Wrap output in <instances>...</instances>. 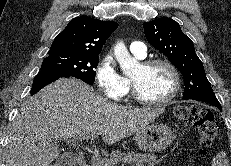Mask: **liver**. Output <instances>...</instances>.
<instances>
[{
	"instance_id": "liver-1",
	"label": "liver",
	"mask_w": 231,
	"mask_h": 166,
	"mask_svg": "<svg viewBox=\"0 0 231 166\" xmlns=\"http://www.w3.org/2000/svg\"><path fill=\"white\" fill-rule=\"evenodd\" d=\"M164 107L134 108L110 102L84 82L61 78L30 97L9 133L6 166H49L58 140L99 132L106 144L129 137L154 121Z\"/></svg>"
}]
</instances>
